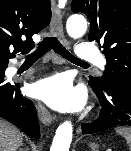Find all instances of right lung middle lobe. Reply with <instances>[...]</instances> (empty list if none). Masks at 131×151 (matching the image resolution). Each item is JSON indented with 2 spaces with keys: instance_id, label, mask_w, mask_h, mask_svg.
Here are the masks:
<instances>
[{
  "instance_id": "dd1d6c3e",
  "label": "right lung middle lobe",
  "mask_w": 131,
  "mask_h": 151,
  "mask_svg": "<svg viewBox=\"0 0 131 151\" xmlns=\"http://www.w3.org/2000/svg\"><path fill=\"white\" fill-rule=\"evenodd\" d=\"M3 71H4V65L0 64V75L2 74Z\"/></svg>"
}]
</instances>
